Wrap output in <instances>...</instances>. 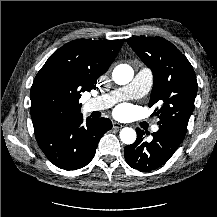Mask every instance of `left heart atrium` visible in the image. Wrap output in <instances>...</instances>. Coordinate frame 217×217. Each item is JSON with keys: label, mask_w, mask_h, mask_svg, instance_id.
Masks as SVG:
<instances>
[{"label": "left heart atrium", "mask_w": 217, "mask_h": 217, "mask_svg": "<svg viewBox=\"0 0 217 217\" xmlns=\"http://www.w3.org/2000/svg\"><path fill=\"white\" fill-rule=\"evenodd\" d=\"M128 111H129V109H128L127 107H124V106L119 107V108L117 109V113H118L119 115H125L126 113H128Z\"/></svg>", "instance_id": "1"}]
</instances>
